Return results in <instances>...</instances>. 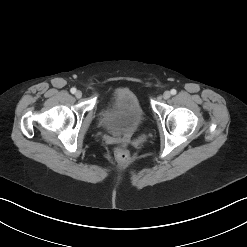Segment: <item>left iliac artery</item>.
Here are the masks:
<instances>
[{"label":"left iliac artery","instance_id":"left-iliac-artery-1","mask_svg":"<svg viewBox=\"0 0 247 247\" xmlns=\"http://www.w3.org/2000/svg\"><path fill=\"white\" fill-rule=\"evenodd\" d=\"M176 93H177V91H176L175 89H172V90H171V94H172V95H175Z\"/></svg>","mask_w":247,"mask_h":247}]
</instances>
